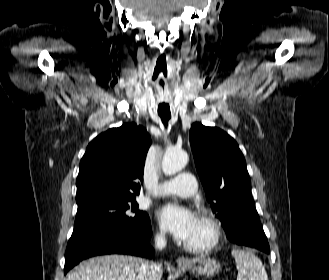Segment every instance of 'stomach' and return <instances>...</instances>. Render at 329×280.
I'll return each instance as SVG.
<instances>
[{"label": "stomach", "mask_w": 329, "mask_h": 280, "mask_svg": "<svg viewBox=\"0 0 329 280\" xmlns=\"http://www.w3.org/2000/svg\"><path fill=\"white\" fill-rule=\"evenodd\" d=\"M181 268L200 276L211 277L219 272L221 265L214 259L201 258L191 265L181 266Z\"/></svg>", "instance_id": "1"}]
</instances>
